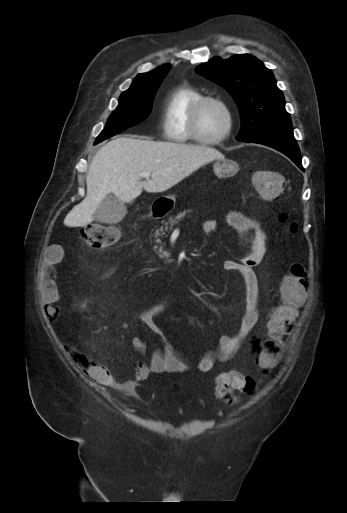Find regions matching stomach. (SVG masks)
Instances as JSON below:
<instances>
[{
    "mask_svg": "<svg viewBox=\"0 0 347 513\" xmlns=\"http://www.w3.org/2000/svg\"><path fill=\"white\" fill-rule=\"evenodd\" d=\"M239 169L238 164L230 159H219L213 164V171L219 178L233 176ZM165 199L175 201L174 196H167Z\"/></svg>",
    "mask_w": 347,
    "mask_h": 513,
    "instance_id": "obj_1",
    "label": "stomach"
}]
</instances>
